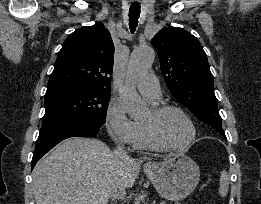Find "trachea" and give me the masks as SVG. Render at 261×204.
<instances>
[{
  "label": "trachea",
  "instance_id": "3493384b",
  "mask_svg": "<svg viewBox=\"0 0 261 204\" xmlns=\"http://www.w3.org/2000/svg\"><path fill=\"white\" fill-rule=\"evenodd\" d=\"M140 17V5H131L129 9V28L133 33L138 25V19Z\"/></svg>",
  "mask_w": 261,
  "mask_h": 204
}]
</instances>
